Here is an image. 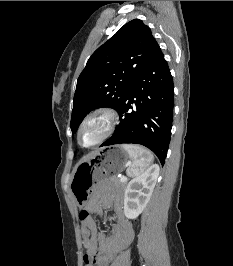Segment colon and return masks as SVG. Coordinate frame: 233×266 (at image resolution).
<instances>
[{"instance_id": "1", "label": "colon", "mask_w": 233, "mask_h": 266, "mask_svg": "<svg viewBox=\"0 0 233 266\" xmlns=\"http://www.w3.org/2000/svg\"><path fill=\"white\" fill-rule=\"evenodd\" d=\"M90 214L87 210H82L79 213V220L81 222V224H85L89 219H90ZM87 261H90L89 259H87Z\"/></svg>"}]
</instances>
